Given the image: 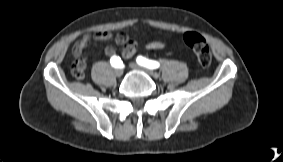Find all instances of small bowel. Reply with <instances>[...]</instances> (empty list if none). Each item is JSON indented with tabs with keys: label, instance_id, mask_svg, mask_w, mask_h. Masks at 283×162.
Listing matches in <instances>:
<instances>
[{
	"label": "small bowel",
	"instance_id": "obj_1",
	"mask_svg": "<svg viewBox=\"0 0 283 162\" xmlns=\"http://www.w3.org/2000/svg\"><path fill=\"white\" fill-rule=\"evenodd\" d=\"M92 42H113L116 45L122 46V57L130 58L137 51V42L133 39H130L124 33H118L116 35H112L107 31H98L94 34H85L83 35L74 45L73 47V57H74V67H81L85 70L86 67V59L82 57L83 51L89 46ZM166 46L164 41H152L145 44L144 48L147 50H159L163 49ZM105 55L108 57L115 56V49L112 46H107L105 48Z\"/></svg>",
	"mask_w": 283,
	"mask_h": 162
}]
</instances>
